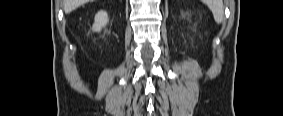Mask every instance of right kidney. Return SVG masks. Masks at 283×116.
Listing matches in <instances>:
<instances>
[{
    "label": "right kidney",
    "mask_w": 283,
    "mask_h": 116,
    "mask_svg": "<svg viewBox=\"0 0 283 116\" xmlns=\"http://www.w3.org/2000/svg\"><path fill=\"white\" fill-rule=\"evenodd\" d=\"M108 21L109 19L107 13L105 11H99L95 15V21L92 28L93 31L94 32L101 31V29L107 25Z\"/></svg>",
    "instance_id": "1"
}]
</instances>
